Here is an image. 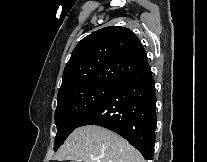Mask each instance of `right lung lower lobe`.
<instances>
[{
	"mask_svg": "<svg viewBox=\"0 0 207 162\" xmlns=\"http://www.w3.org/2000/svg\"><path fill=\"white\" fill-rule=\"evenodd\" d=\"M155 82L149 66L124 77L80 123L98 125L128 140L153 159L156 128Z\"/></svg>",
	"mask_w": 207,
	"mask_h": 162,
	"instance_id": "obj_1",
	"label": "right lung lower lobe"
}]
</instances>
